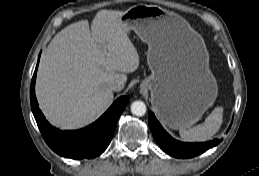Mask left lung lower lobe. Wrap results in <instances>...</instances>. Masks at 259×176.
<instances>
[{"mask_svg": "<svg viewBox=\"0 0 259 176\" xmlns=\"http://www.w3.org/2000/svg\"><path fill=\"white\" fill-rule=\"evenodd\" d=\"M148 121L154 139L160 148L167 154L177 158H191L202 154L208 149L218 145L219 139L203 143H183L173 139L156 120L154 114L149 112Z\"/></svg>", "mask_w": 259, "mask_h": 176, "instance_id": "left-lung-lower-lobe-1", "label": "left lung lower lobe"}]
</instances>
